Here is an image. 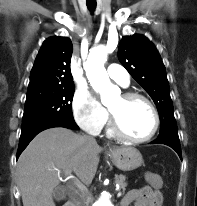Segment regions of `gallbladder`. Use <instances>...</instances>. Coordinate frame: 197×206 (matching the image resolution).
Wrapping results in <instances>:
<instances>
[{"instance_id":"bac80fb5","label":"gallbladder","mask_w":197,"mask_h":206,"mask_svg":"<svg viewBox=\"0 0 197 206\" xmlns=\"http://www.w3.org/2000/svg\"><path fill=\"white\" fill-rule=\"evenodd\" d=\"M53 195L56 201H61L65 199V193L61 188L55 189Z\"/></svg>"}]
</instances>
